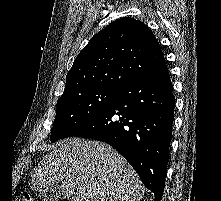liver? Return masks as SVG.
Segmentation results:
<instances>
[{"instance_id": "obj_1", "label": "liver", "mask_w": 221, "mask_h": 201, "mask_svg": "<svg viewBox=\"0 0 221 201\" xmlns=\"http://www.w3.org/2000/svg\"><path fill=\"white\" fill-rule=\"evenodd\" d=\"M31 185L33 190L56 185L69 201H140L144 193L139 176L115 149L78 138L53 145Z\"/></svg>"}]
</instances>
